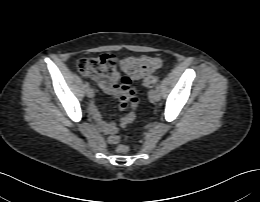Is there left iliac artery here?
Returning <instances> with one entry per match:
<instances>
[{"instance_id":"1","label":"left iliac artery","mask_w":260,"mask_h":202,"mask_svg":"<svg viewBox=\"0 0 260 202\" xmlns=\"http://www.w3.org/2000/svg\"><path fill=\"white\" fill-rule=\"evenodd\" d=\"M156 90H160L161 86L159 84L156 85Z\"/></svg>"}]
</instances>
